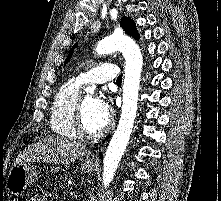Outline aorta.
<instances>
[{"label":"aorta","instance_id":"aorta-1","mask_svg":"<svg viewBox=\"0 0 221 201\" xmlns=\"http://www.w3.org/2000/svg\"><path fill=\"white\" fill-rule=\"evenodd\" d=\"M95 50L98 55L120 51L126 61L121 117L104 156L102 182L107 187L113 180L134 126L143 58L135 41L123 34L104 38Z\"/></svg>","mask_w":221,"mask_h":201}]
</instances>
